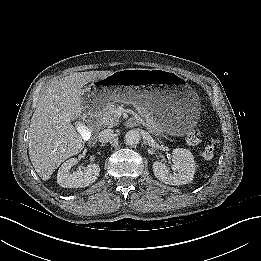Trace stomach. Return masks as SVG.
<instances>
[{
    "instance_id": "stomach-1",
    "label": "stomach",
    "mask_w": 261,
    "mask_h": 261,
    "mask_svg": "<svg viewBox=\"0 0 261 261\" xmlns=\"http://www.w3.org/2000/svg\"><path fill=\"white\" fill-rule=\"evenodd\" d=\"M98 81L102 83L92 84L82 97L86 110L99 112L111 102H134L149 109L157 126L167 133L182 135L196 125L198 96L171 71L125 69Z\"/></svg>"
}]
</instances>
